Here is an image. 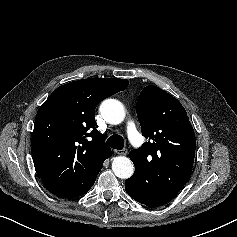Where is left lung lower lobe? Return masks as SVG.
Wrapping results in <instances>:
<instances>
[{"label": "left lung lower lobe", "instance_id": "1", "mask_svg": "<svg viewBox=\"0 0 237 237\" xmlns=\"http://www.w3.org/2000/svg\"><path fill=\"white\" fill-rule=\"evenodd\" d=\"M125 190L128 193V195L130 197H132L134 200H136L140 203H143L149 207H158V206L153 205L151 203L145 202V201H143V199H141L139 193L137 192V190L135 189V187L133 185L132 177L125 181Z\"/></svg>", "mask_w": 237, "mask_h": 237}]
</instances>
